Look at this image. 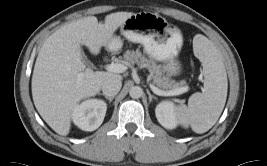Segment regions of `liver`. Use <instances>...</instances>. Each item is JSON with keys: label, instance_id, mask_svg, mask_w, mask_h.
I'll return each mask as SVG.
<instances>
[{"label": "liver", "instance_id": "6515ba94", "mask_svg": "<svg viewBox=\"0 0 267 166\" xmlns=\"http://www.w3.org/2000/svg\"><path fill=\"white\" fill-rule=\"evenodd\" d=\"M132 14L111 13L103 24L88 16L59 28L43 43L33 70L32 97L40 116L57 134H69L73 111L81 100L98 94L105 80L121 79L114 73L86 68L80 46L99 54Z\"/></svg>", "mask_w": 267, "mask_h": 166}]
</instances>
